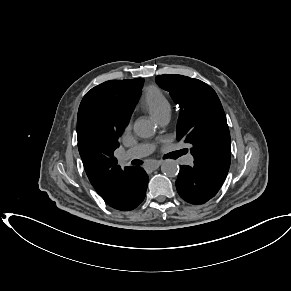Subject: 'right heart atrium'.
Returning <instances> with one entry per match:
<instances>
[{"label":"right heart atrium","mask_w":291,"mask_h":291,"mask_svg":"<svg viewBox=\"0 0 291 291\" xmlns=\"http://www.w3.org/2000/svg\"><path fill=\"white\" fill-rule=\"evenodd\" d=\"M131 122H129L128 124H127V126H126V130L128 131V130H130L131 129Z\"/></svg>","instance_id":"obj_1"}]
</instances>
